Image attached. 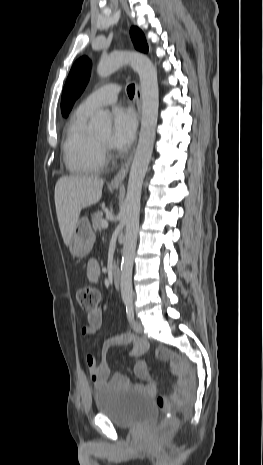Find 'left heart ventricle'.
I'll return each mask as SVG.
<instances>
[{"label": "left heart ventricle", "mask_w": 263, "mask_h": 465, "mask_svg": "<svg viewBox=\"0 0 263 465\" xmlns=\"http://www.w3.org/2000/svg\"><path fill=\"white\" fill-rule=\"evenodd\" d=\"M97 138L103 142H107L109 140V133L108 132L103 133L99 135Z\"/></svg>", "instance_id": "left-heart-ventricle-1"}]
</instances>
